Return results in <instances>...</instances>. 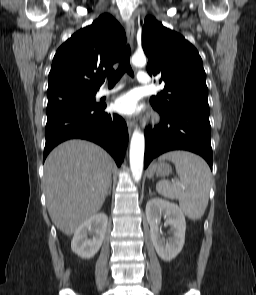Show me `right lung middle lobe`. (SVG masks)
Here are the masks:
<instances>
[{"instance_id": "dd1d6c3e", "label": "right lung middle lobe", "mask_w": 256, "mask_h": 295, "mask_svg": "<svg viewBox=\"0 0 256 295\" xmlns=\"http://www.w3.org/2000/svg\"><path fill=\"white\" fill-rule=\"evenodd\" d=\"M96 92H69L60 97L55 98V100L70 99L78 103L85 105H94Z\"/></svg>"}]
</instances>
